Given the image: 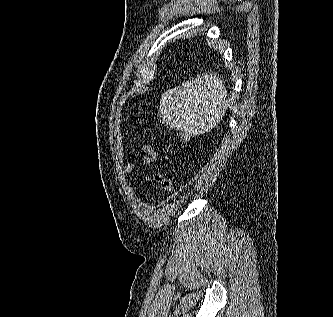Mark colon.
Instances as JSON below:
<instances>
[{
  "instance_id": "1",
  "label": "colon",
  "mask_w": 333,
  "mask_h": 317,
  "mask_svg": "<svg viewBox=\"0 0 333 317\" xmlns=\"http://www.w3.org/2000/svg\"><path fill=\"white\" fill-rule=\"evenodd\" d=\"M192 137L193 132L190 129L181 130V132L179 133V138L181 141H189ZM152 179L154 183L159 185L163 192L170 193L172 191V180L162 171H155L152 175Z\"/></svg>"
}]
</instances>
